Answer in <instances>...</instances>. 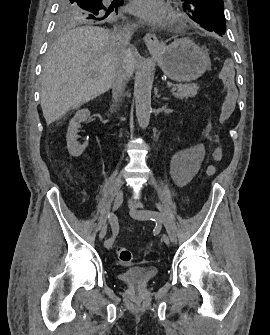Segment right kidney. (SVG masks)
I'll list each match as a JSON object with an SVG mask.
<instances>
[{
	"label": "right kidney",
	"mask_w": 270,
	"mask_h": 335,
	"mask_svg": "<svg viewBox=\"0 0 270 335\" xmlns=\"http://www.w3.org/2000/svg\"><path fill=\"white\" fill-rule=\"evenodd\" d=\"M90 112L89 110H78L76 112L74 118H72L69 126L68 132L66 134V142H67V150L70 156H81L82 152H84L85 148L88 146V142H84V144H78L77 142V132H79V128L81 126V122H86L87 118H89Z\"/></svg>",
	"instance_id": "right-kidney-1"
}]
</instances>
